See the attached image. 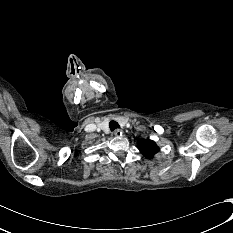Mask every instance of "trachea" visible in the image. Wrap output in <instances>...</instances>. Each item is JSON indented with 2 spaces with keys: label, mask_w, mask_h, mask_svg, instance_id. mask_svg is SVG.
Segmentation results:
<instances>
[{
  "label": "trachea",
  "mask_w": 233,
  "mask_h": 233,
  "mask_svg": "<svg viewBox=\"0 0 233 233\" xmlns=\"http://www.w3.org/2000/svg\"><path fill=\"white\" fill-rule=\"evenodd\" d=\"M109 127H110L111 131L120 128L119 124L116 121H113V120L110 121Z\"/></svg>",
  "instance_id": "3493384b"
}]
</instances>
